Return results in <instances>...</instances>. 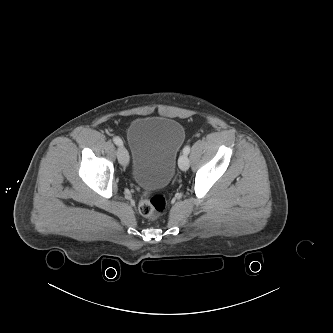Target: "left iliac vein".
Listing matches in <instances>:
<instances>
[{"label": "left iliac vein", "mask_w": 333, "mask_h": 333, "mask_svg": "<svg viewBox=\"0 0 333 333\" xmlns=\"http://www.w3.org/2000/svg\"><path fill=\"white\" fill-rule=\"evenodd\" d=\"M179 168L183 171H186L189 168L190 161L186 154L180 156L178 161Z\"/></svg>", "instance_id": "1"}]
</instances>
